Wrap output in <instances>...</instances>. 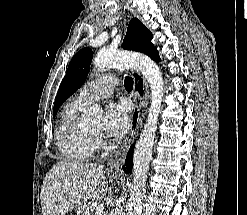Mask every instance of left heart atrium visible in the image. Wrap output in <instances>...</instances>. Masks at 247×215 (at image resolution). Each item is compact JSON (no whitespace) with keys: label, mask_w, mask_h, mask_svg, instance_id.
I'll use <instances>...</instances> for the list:
<instances>
[{"label":"left heart atrium","mask_w":247,"mask_h":215,"mask_svg":"<svg viewBox=\"0 0 247 215\" xmlns=\"http://www.w3.org/2000/svg\"><path fill=\"white\" fill-rule=\"evenodd\" d=\"M130 126L129 106L120 100L109 104L106 109L105 131L108 136L119 139L124 136Z\"/></svg>","instance_id":"39dd6f15"}]
</instances>
